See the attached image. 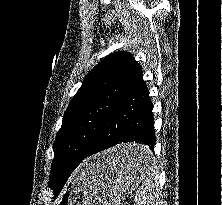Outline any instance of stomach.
<instances>
[{"mask_svg":"<svg viewBox=\"0 0 222 205\" xmlns=\"http://www.w3.org/2000/svg\"><path fill=\"white\" fill-rule=\"evenodd\" d=\"M147 150L137 144L120 145L85 160L62 192L57 205H120L145 179L151 167L122 163L128 151Z\"/></svg>","mask_w":222,"mask_h":205,"instance_id":"obj_1","label":"stomach"}]
</instances>
